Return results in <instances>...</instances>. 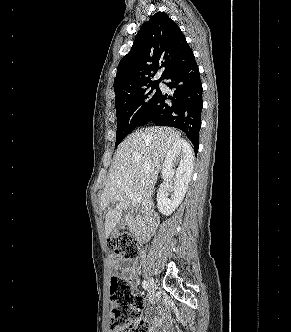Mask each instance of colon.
Masks as SVG:
<instances>
[{
  "instance_id": "obj_1",
  "label": "colon",
  "mask_w": 291,
  "mask_h": 332,
  "mask_svg": "<svg viewBox=\"0 0 291 332\" xmlns=\"http://www.w3.org/2000/svg\"><path fill=\"white\" fill-rule=\"evenodd\" d=\"M108 248L125 260H134L139 256L136 238L122 232L107 239ZM111 332H151V327L142 318L143 298L134 293L131 282L122 275L110 278Z\"/></svg>"
}]
</instances>
